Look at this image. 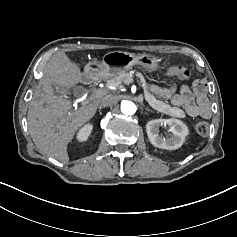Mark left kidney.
<instances>
[{
  "instance_id": "left-kidney-1",
  "label": "left kidney",
  "mask_w": 237,
  "mask_h": 237,
  "mask_svg": "<svg viewBox=\"0 0 237 237\" xmlns=\"http://www.w3.org/2000/svg\"><path fill=\"white\" fill-rule=\"evenodd\" d=\"M163 123H166L170 127V131L173 134L169 138L159 135V126ZM146 131L152 145L167 150L180 148L189 134L186 124L175 118L151 120L146 124Z\"/></svg>"
}]
</instances>
